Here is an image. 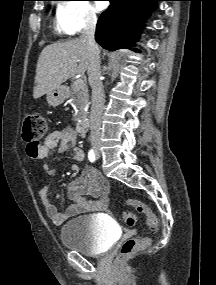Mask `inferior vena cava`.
Wrapping results in <instances>:
<instances>
[{
	"instance_id": "obj_1",
	"label": "inferior vena cava",
	"mask_w": 216,
	"mask_h": 285,
	"mask_svg": "<svg viewBox=\"0 0 216 285\" xmlns=\"http://www.w3.org/2000/svg\"><path fill=\"white\" fill-rule=\"evenodd\" d=\"M97 17L88 15L80 39L86 42L89 51L88 79L92 89V106L90 115L91 143L95 145L100 140L101 117L104 109V90L101 81L100 50L95 42Z\"/></svg>"
}]
</instances>
